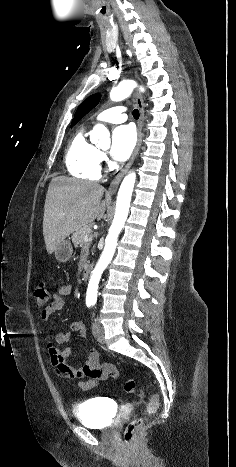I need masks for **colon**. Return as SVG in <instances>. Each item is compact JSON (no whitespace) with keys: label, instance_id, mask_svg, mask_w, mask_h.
<instances>
[{"label":"colon","instance_id":"obj_1","mask_svg":"<svg viewBox=\"0 0 236 467\" xmlns=\"http://www.w3.org/2000/svg\"><path fill=\"white\" fill-rule=\"evenodd\" d=\"M34 295H35L37 304L41 307L47 305V303L50 300V296H51L50 290L44 283H41L36 286ZM135 388H136L135 380L129 379L126 381L124 385V390L126 393H132L135 390ZM157 406H158V396L156 394H153L150 397V400L147 406L148 413H153L157 409ZM142 426H143V419L141 418L134 419L131 422H129L126 425L123 431V434H122L123 442L125 444L132 443L136 432L139 429H141Z\"/></svg>","mask_w":236,"mask_h":467}]
</instances>
